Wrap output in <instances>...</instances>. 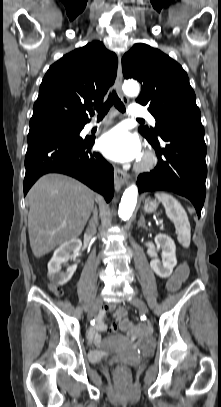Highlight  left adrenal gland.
Returning a JSON list of instances; mask_svg holds the SVG:
<instances>
[{"label":"left adrenal gland","instance_id":"obj_1","mask_svg":"<svg viewBox=\"0 0 221 407\" xmlns=\"http://www.w3.org/2000/svg\"><path fill=\"white\" fill-rule=\"evenodd\" d=\"M138 227L146 229V223L143 215L140 216V219L138 221Z\"/></svg>","mask_w":221,"mask_h":407}]
</instances>
